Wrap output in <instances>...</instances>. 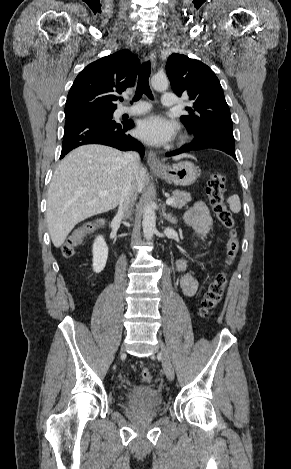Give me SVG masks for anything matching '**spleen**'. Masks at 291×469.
I'll return each instance as SVG.
<instances>
[{
    "mask_svg": "<svg viewBox=\"0 0 291 469\" xmlns=\"http://www.w3.org/2000/svg\"><path fill=\"white\" fill-rule=\"evenodd\" d=\"M227 203L230 206V209L234 213H238L241 210V203L238 195L230 196L227 200Z\"/></svg>",
    "mask_w": 291,
    "mask_h": 469,
    "instance_id": "obj_1",
    "label": "spleen"
}]
</instances>
